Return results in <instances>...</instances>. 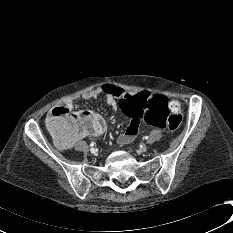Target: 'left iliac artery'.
<instances>
[{
	"label": "left iliac artery",
	"instance_id": "left-iliac-artery-1",
	"mask_svg": "<svg viewBox=\"0 0 233 233\" xmlns=\"http://www.w3.org/2000/svg\"><path fill=\"white\" fill-rule=\"evenodd\" d=\"M149 137L148 136H144L143 139L147 140Z\"/></svg>",
	"mask_w": 233,
	"mask_h": 233
}]
</instances>
